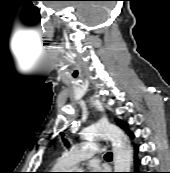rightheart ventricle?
<instances>
[{"label": "right heart ventricle", "instance_id": "1", "mask_svg": "<svg viewBox=\"0 0 170 173\" xmlns=\"http://www.w3.org/2000/svg\"><path fill=\"white\" fill-rule=\"evenodd\" d=\"M66 161L64 160L63 157H60L57 161V164H56V169H64L66 168Z\"/></svg>", "mask_w": 170, "mask_h": 173}]
</instances>
